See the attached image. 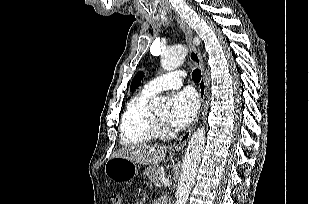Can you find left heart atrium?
Wrapping results in <instances>:
<instances>
[{"label": "left heart atrium", "instance_id": "obj_1", "mask_svg": "<svg viewBox=\"0 0 309 204\" xmlns=\"http://www.w3.org/2000/svg\"><path fill=\"white\" fill-rule=\"evenodd\" d=\"M199 108L198 97L192 90L186 89L173 97V105L169 115V122L177 129L188 126L197 114Z\"/></svg>", "mask_w": 309, "mask_h": 204}]
</instances>
